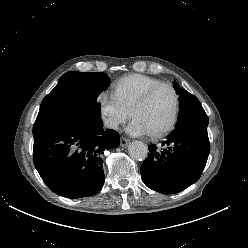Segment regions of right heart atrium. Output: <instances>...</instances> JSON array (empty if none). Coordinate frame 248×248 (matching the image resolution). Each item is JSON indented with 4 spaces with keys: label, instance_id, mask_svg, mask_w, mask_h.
<instances>
[{
    "label": "right heart atrium",
    "instance_id": "1",
    "mask_svg": "<svg viewBox=\"0 0 248 248\" xmlns=\"http://www.w3.org/2000/svg\"><path fill=\"white\" fill-rule=\"evenodd\" d=\"M101 116L110 129L117 130L129 118L127 111L113 93L102 92L98 97Z\"/></svg>",
    "mask_w": 248,
    "mask_h": 248
}]
</instances>
